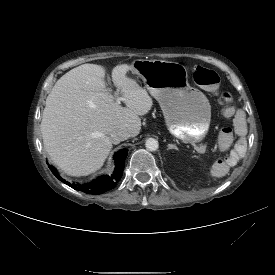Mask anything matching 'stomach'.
Returning a JSON list of instances; mask_svg holds the SVG:
<instances>
[{"instance_id":"0dacf381","label":"stomach","mask_w":275,"mask_h":275,"mask_svg":"<svg viewBox=\"0 0 275 275\" xmlns=\"http://www.w3.org/2000/svg\"><path fill=\"white\" fill-rule=\"evenodd\" d=\"M131 67L158 101L169 132L185 143L202 141L209 130L211 106L200 90L189 85L186 68L163 60H136Z\"/></svg>"}]
</instances>
